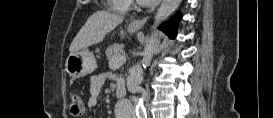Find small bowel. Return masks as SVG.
Wrapping results in <instances>:
<instances>
[{"label": "small bowel", "instance_id": "1", "mask_svg": "<svg viewBox=\"0 0 273 118\" xmlns=\"http://www.w3.org/2000/svg\"><path fill=\"white\" fill-rule=\"evenodd\" d=\"M105 79L106 77L102 75L95 76L92 78L90 85V96L87 103L90 108H95L98 105L99 96L105 83ZM130 113L131 108L126 104H118L115 108L116 118H124L128 116Z\"/></svg>", "mask_w": 273, "mask_h": 118}]
</instances>
